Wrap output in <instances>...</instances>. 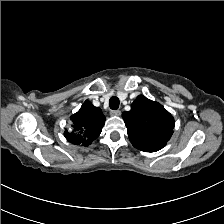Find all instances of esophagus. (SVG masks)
<instances>
[{"label": "esophagus", "instance_id": "esophagus-1", "mask_svg": "<svg viewBox=\"0 0 224 224\" xmlns=\"http://www.w3.org/2000/svg\"><path fill=\"white\" fill-rule=\"evenodd\" d=\"M111 115L113 116H120L121 115V111L120 110H112L110 112Z\"/></svg>", "mask_w": 224, "mask_h": 224}]
</instances>
